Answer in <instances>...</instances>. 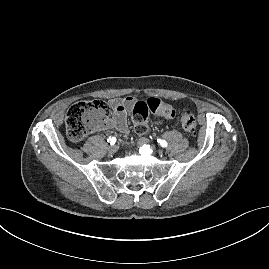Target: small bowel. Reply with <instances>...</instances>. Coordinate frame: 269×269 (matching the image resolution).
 Here are the masks:
<instances>
[{
    "label": "small bowel",
    "instance_id": "small-bowel-1",
    "mask_svg": "<svg viewBox=\"0 0 269 269\" xmlns=\"http://www.w3.org/2000/svg\"><path fill=\"white\" fill-rule=\"evenodd\" d=\"M136 99L132 96L125 98H113L109 101L112 108V116L104 121L100 129H116L123 135L128 134L129 126L127 113L133 109Z\"/></svg>",
    "mask_w": 269,
    "mask_h": 269
}]
</instances>
